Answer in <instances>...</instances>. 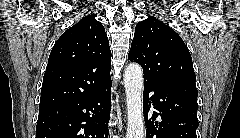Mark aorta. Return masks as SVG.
<instances>
[{"label": "aorta", "instance_id": "1", "mask_svg": "<svg viewBox=\"0 0 240 138\" xmlns=\"http://www.w3.org/2000/svg\"><path fill=\"white\" fill-rule=\"evenodd\" d=\"M127 102V138H144L143 71L139 64L130 63L124 72Z\"/></svg>", "mask_w": 240, "mask_h": 138}]
</instances>
